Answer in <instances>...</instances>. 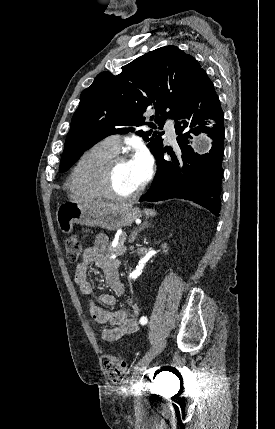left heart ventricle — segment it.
Segmentation results:
<instances>
[{
  "instance_id": "left-heart-ventricle-1",
  "label": "left heart ventricle",
  "mask_w": 275,
  "mask_h": 429,
  "mask_svg": "<svg viewBox=\"0 0 275 429\" xmlns=\"http://www.w3.org/2000/svg\"><path fill=\"white\" fill-rule=\"evenodd\" d=\"M140 186L141 183L131 160L124 161L116 166L113 176V187L118 194H132Z\"/></svg>"
}]
</instances>
